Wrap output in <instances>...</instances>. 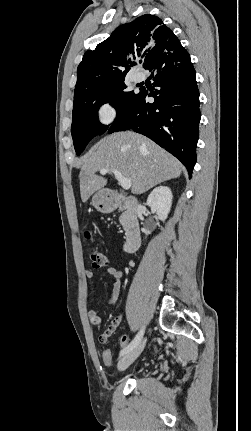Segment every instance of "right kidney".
<instances>
[{"label": "right kidney", "mask_w": 251, "mask_h": 431, "mask_svg": "<svg viewBox=\"0 0 251 431\" xmlns=\"http://www.w3.org/2000/svg\"><path fill=\"white\" fill-rule=\"evenodd\" d=\"M172 192L167 186L155 188L147 199V205L152 213H156L161 221H165L172 205Z\"/></svg>", "instance_id": "ca27d5eb"}]
</instances>
